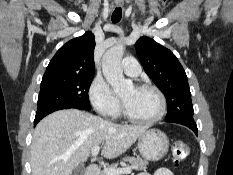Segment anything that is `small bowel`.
Instances as JSON below:
<instances>
[{"instance_id":"1","label":"small bowel","mask_w":233,"mask_h":175,"mask_svg":"<svg viewBox=\"0 0 233 175\" xmlns=\"http://www.w3.org/2000/svg\"><path fill=\"white\" fill-rule=\"evenodd\" d=\"M137 175H151V174L146 171H142ZM153 175H174V173L168 168H160Z\"/></svg>"}]
</instances>
